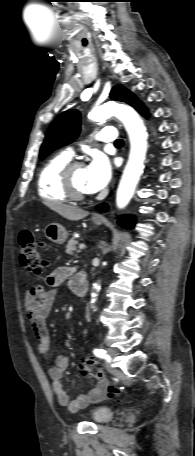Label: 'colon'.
<instances>
[{"label":"colon","mask_w":195,"mask_h":456,"mask_svg":"<svg viewBox=\"0 0 195 456\" xmlns=\"http://www.w3.org/2000/svg\"><path fill=\"white\" fill-rule=\"evenodd\" d=\"M20 245V262L24 268L29 270L33 275L41 277L46 267V260L40 253L42 243L38 242L32 232L24 231L19 236ZM80 372L95 380L104 379V370L102 366L91 358L82 359L79 365ZM120 389L115 386L108 387V395L115 397Z\"/></svg>","instance_id":"1"}]
</instances>
